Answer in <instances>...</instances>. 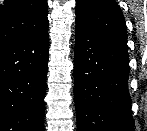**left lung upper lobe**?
<instances>
[{"label":"left lung upper lobe","mask_w":147,"mask_h":131,"mask_svg":"<svg viewBox=\"0 0 147 131\" xmlns=\"http://www.w3.org/2000/svg\"><path fill=\"white\" fill-rule=\"evenodd\" d=\"M76 22L105 37L127 45L123 13L114 0H77Z\"/></svg>","instance_id":"obj_1"}]
</instances>
